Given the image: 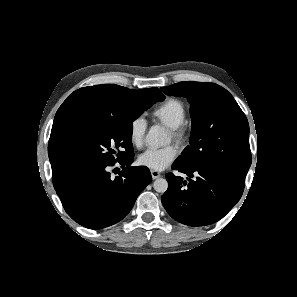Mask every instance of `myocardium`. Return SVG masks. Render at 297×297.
<instances>
[{
	"label": "myocardium",
	"mask_w": 297,
	"mask_h": 297,
	"mask_svg": "<svg viewBox=\"0 0 297 297\" xmlns=\"http://www.w3.org/2000/svg\"><path fill=\"white\" fill-rule=\"evenodd\" d=\"M170 134L173 140L178 143H183L186 137L185 127L182 125L174 128H170Z\"/></svg>",
	"instance_id": "myocardium-1"
}]
</instances>
